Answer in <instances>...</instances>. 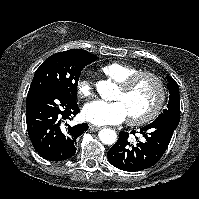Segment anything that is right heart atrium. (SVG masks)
<instances>
[{
  "instance_id": "obj_1",
  "label": "right heart atrium",
  "mask_w": 199,
  "mask_h": 199,
  "mask_svg": "<svg viewBox=\"0 0 199 199\" xmlns=\"http://www.w3.org/2000/svg\"><path fill=\"white\" fill-rule=\"evenodd\" d=\"M76 92L80 98L90 97L93 93V83L86 77H80L76 82Z\"/></svg>"
}]
</instances>
